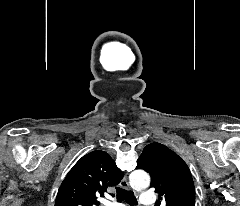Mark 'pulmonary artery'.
<instances>
[{"mask_svg":"<svg viewBox=\"0 0 240 206\" xmlns=\"http://www.w3.org/2000/svg\"><path fill=\"white\" fill-rule=\"evenodd\" d=\"M156 201V196L152 191H145L142 193L140 202L143 205L149 206L153 205ZM108 206H122L120 204H110Z\"/></svg>","mask_w":240,"mask_h":206,"instance_id":"1","label":"pulmonary artery"}]
</instances>
